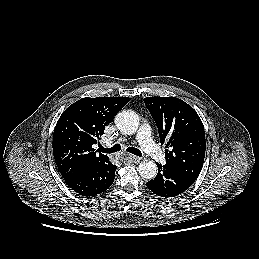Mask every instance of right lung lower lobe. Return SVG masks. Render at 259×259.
Masks as SVG:
<instances>
[{"label": "right lung lower lobe", "instance_id": "98d812e1", "mask_svg": "<svg viewBox=\"0 0 259 259\" xmlns=\"http://www.w3.org/2000/svg\"><path fill=\"white\" fill-rule=\"evenodd\" d=\"M115 171L116 166L108 161L99 166L82 170L64 180L76 193L83 196H94L104 192L112 185Z\"/></svg>", "mask_w": 259, "mask_h": 259}]
</instances>
